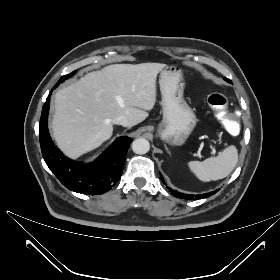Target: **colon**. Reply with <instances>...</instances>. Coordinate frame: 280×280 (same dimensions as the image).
<instances>
[{
	"label": "colon",
	"mask_w": 280,
	"mask_h": 280,
	"mask_svg": "<svg viewBox=\"0 0 280 280\" xmlns=\"http://www.w3.org/2000/svg\"><path fill=\"white\" fill-rule=\"evenodd\" d=\"M207 103L218 117V123L227 128L231 136H238L241 132L240 122L242 120L240 108L233 105L228 110L226 97L217 92H212L207 96Z\"/></svg>",
	"instance_id": "obj_1"
}]
</instances>
